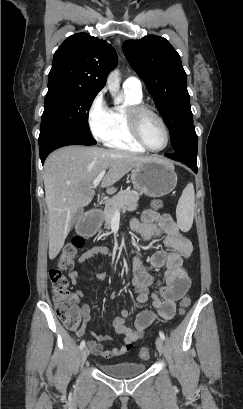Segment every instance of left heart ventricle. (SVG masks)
<instances>
[{
  "mask_svg": "<svg viewBox=\"0 0 243 409\" xmlns=\"http://www.w3.org/2000/svg\"><path fill=\"white\" fill-rule=\"evenodd\" d=\"M142 136L145 142L153 148H161L166 142L162 125L150 114H145L140 120Z\"/></svg>",
  "mask_w": 243,
  "mask_h": 409,
  "instance_id": "b2bd125f",
  "label": "left heart ventricle"
}]
</instances>
